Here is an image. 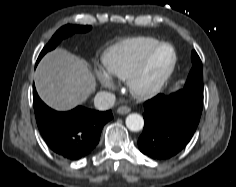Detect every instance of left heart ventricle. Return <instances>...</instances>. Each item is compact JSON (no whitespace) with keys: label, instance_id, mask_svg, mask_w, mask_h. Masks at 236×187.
<instances>
[{"label":"left heart ventricle","instance_id":"1","mask_svg":"<svg viewBox=\"0 0 236 187\" xmlns=\"http://www.w3.org/2000/svg\"><path fill=\"white\" fill-rule=\"evenodd\" d=\"M172 59L170 48L163 47L151 58L149 65L142 77L141 84L149 86L156 81L161 73L166 69Z\"/></svg>","mask_w":236,"mask_h":187}]
</instances>
